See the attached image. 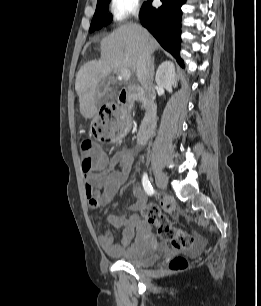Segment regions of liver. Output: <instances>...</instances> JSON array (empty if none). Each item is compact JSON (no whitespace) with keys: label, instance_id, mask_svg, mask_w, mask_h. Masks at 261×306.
<instances>
[{"label":"liver","instance_id":"6515ba94","mask_svg":"<svg viewBox=\"0 0 261 306\" xmlns=\"http://www.w3.org/2000/svg\"><path fill=\"white\" fill-rule=\"evenodd\" d=\"M100 47V60L85 63L76 75L75 90L80 113L86 119L93 118L97 113L96 90L99 83L110 73L120 74L123 69L136 71L140 53L144 49L153 53L158 43L139 24L127 23L105 37Z\"/></svg>","mask_w":261,"mask_h":306}]
</instances>
